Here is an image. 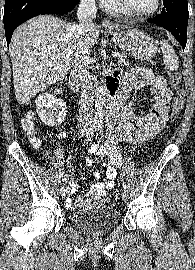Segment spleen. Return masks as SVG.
<instances>
[{
    "label": "spleen",
    "mask_w": 195,
    "mask_h": 270,
    "mask_svg": "<svg viewBox=\"0 0 195 270\" xmlns=\"http://www.w3.org/2000/svg\"><path fill=\"white\" fill-rule=\"evenodd\" d=\"M161 51L163 53V62L167 69L176 71L179 68L178 56L173 47L165 40L160 41Z\"/></svg>",
    "instance_id": "1"
}]
</instances>
